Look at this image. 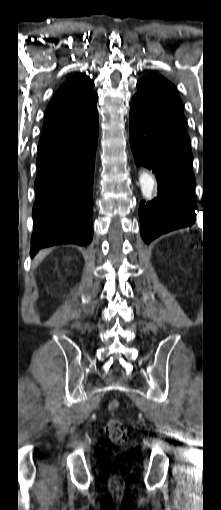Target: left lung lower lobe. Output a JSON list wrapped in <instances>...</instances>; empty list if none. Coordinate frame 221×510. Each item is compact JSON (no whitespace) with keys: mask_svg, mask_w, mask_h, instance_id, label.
I'll use <instances>...</instances> for the list:
<instances>
[{"mask_svg":"<svg viewBox=\"0 0 221 510\" xmlns=\"http://www.w3.org/2000/svg\"><path fill=\"white\" fill-rule=\"evenodd\" d=\"M130 143L136 164L152 170L158 182L157 197L140 203L143 240L150 243L162 234L191 226L197 206L190 146L164 134L133 107Z\"/></svg>","mask_w":221,"mask_h":510,"instance_id":"0a47b994","label":"left lung lower lobe"}]
</instances>
